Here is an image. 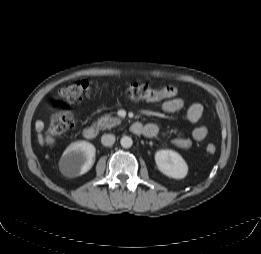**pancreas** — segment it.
Listing matches in <instances>:
<instances>
[{
    "instance_id": "pancreas-1",
    "label": "pancreas",
    "mask_w": 261,
    "mask_h": 254,
    "mask_svg": "<svg viewBox=\"0 0 261 254\" xmlns=\"http://www.w3.org/2000/svg\"><path fill=\"white\" fill-rule=\"evenodd\" d=\"M121 120L117 117H111L110 115L102 116L97 121V127L99 129H110L116 125H119Z\"/></svg>"
}]
</instances>
